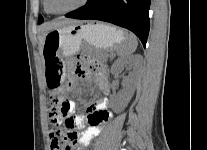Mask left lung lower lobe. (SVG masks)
Masks as SVG:
<instances>
[{"instance_id": "0a47b994", "label": "left lung lower lobe", "mask_w": 207, "mask_h": 150, "mask_svg": "<svg viewBox=\"0 0 207 150\" xmlns=\"http://www.w3.org/2000/svg\"><path fill=\"white\" fill-rule=\"evenodd\" d=\"M150 0H89L66 17L101 20L132 31L145 47L150 28Z\"/></svg>"}]
</instances>
